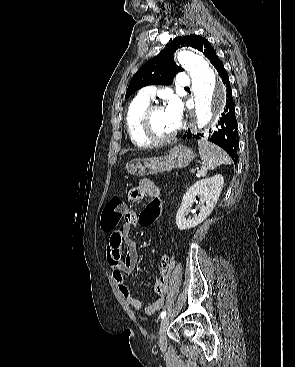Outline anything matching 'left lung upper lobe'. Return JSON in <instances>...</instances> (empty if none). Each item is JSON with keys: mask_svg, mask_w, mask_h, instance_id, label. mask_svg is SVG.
<instances>
[{"mask_svg": "<svg viewBox=\"0 0 295 367\" xmlns=\"http://www.w3.org/2000/svg\"><path fill=\"white\" fill-rule=\"evenodd\" d=\"M192 47L201 51L213 64L218 58L215 49L208 40L199 35L176 37L168 47L156 57L147 61L131 79L125 98L148 85L170 84L172 78L183 69L173 61V55L178 48Z\"/></svg>", "mask_w": 295, "mask_h": 367, "instance_id": "obj_1", "label": "left lung upper lobe"}]
</instances>
